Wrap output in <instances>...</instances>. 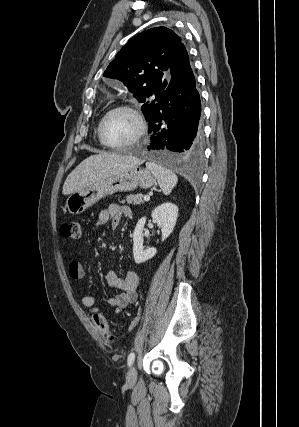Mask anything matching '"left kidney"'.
<instances>
[{
    "mask_svg": "<svg viewBox=\"0 0 299 427\" xmlns=\"http://www.w3.org/2000/svg\"><path fill=\"white\" fill-rule=\"evenodd\" d=\"M151 217L161 228L162 241H164L174 230L178 217V207L170 202L163 203L153 210ZM145 223L146 217L141 218L136 224L133 232V256L134 261L137 264L146 262L153 258L157 253V250L154 247L147 249H144L143 247V230Z\"/></svg>",
    "mask_w": 299,
    "mask_h": 427,
    "instance_id": "left-kidney-1",
    "label": "left kidney"
}]
</instances>
